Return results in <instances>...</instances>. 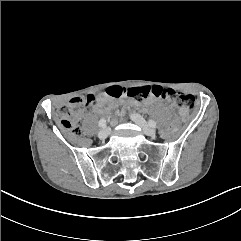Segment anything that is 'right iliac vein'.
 Instances as JSON below:
<instances>
[{
	"label": "right iliac vein",
	"instance_id": "right-iliac-vein-1",
	"mask_svg": "<svg viewBox=\"0 0 241 241\" xmlns=\"http://www.w3.org/2000/svg\"><path fill=\"white\" fill-rule=\"evenodd\" d=\"M109 134H110V129L108 127H105L102 130H100V132L98 133V136L100 139H105L109 136Z\"/></svg>",
	"mask_w": 241,
	"mask_h": 241
}]
</instances>
